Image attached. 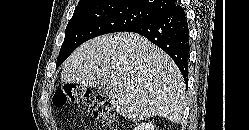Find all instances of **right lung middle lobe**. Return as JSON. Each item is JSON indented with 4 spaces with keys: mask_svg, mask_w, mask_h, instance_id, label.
Segmentation results:
<instances>
[{
    "mask_svg": "<svg viewBox=\"0 0 249 130\" xmlns=\"http://www.w3.org/2000/svg\"><path fill=\"white\" fill-rule=\"evenodd\" d=\"M158 14L128 3L99 1L75 8L66 30L56 67L85 41L99 35L125 31Z\"/></svg>",
    "mask_w": 249,
    "mask_h": 130,
    "instance_id": "dd1d6c3e",
    "label": "right lung middle lobe"
}]
</instances>
